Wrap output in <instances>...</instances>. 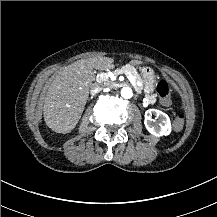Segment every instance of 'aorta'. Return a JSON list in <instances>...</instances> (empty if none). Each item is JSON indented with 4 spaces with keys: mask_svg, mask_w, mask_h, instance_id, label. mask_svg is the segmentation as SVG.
Here are the masks:
<instances>
[{
    "mask_svg": "<svg viewBox=\"0 0 217 217\" xmlns=\"http://www.w3.org/2000/svg\"><path fill=\"white\" fill-rule=\"evenodd\" d=\"M121 96L124 99H130L133 96L132 89L130 87H123L121 89Z\"/></svg>",
    "mask_w": 217,
    "mask_h": 217,
    "instance_id": "aorta-1",
    "label": "aorta"
}]
</instances>
